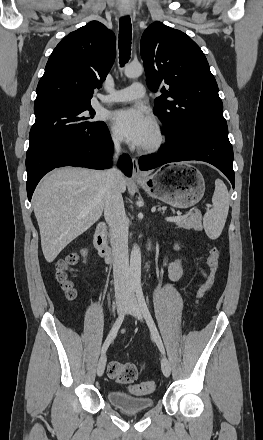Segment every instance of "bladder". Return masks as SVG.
Wrapping results in <instances>:
<instances>
[{"instance_id": "1", "label": "bladder", "mask_w": 263, "mask_h": 440, "mask_svg": "<svg viewBox=\"0 0 263 440\" xmlns=\"http://www.w3.org/2000/svg\"><path fill=\"white\" fill-rule=\"evenodd\" d=\"M106 397L110 404L122 411H145L154 405L152 396H137L125 390H109Z\"/></svg>"}]
</instances>
